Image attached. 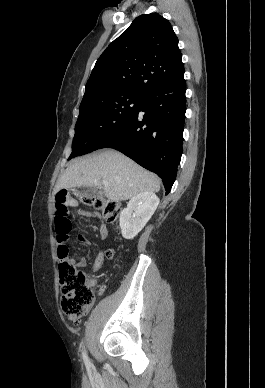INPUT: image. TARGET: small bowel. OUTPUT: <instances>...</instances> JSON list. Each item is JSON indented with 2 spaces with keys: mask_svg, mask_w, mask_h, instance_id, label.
<instances>
[{
  "mask_svg": "<svg viewBox=\"0 0 265 388\" xmlns=\"http://www.w3.org/2000/svg\"><path fill=\"white\" fill-rule=\"evenodd\" d=\"M70 205L73 206V207H79L80 206L79 202L77 200H74V199L70 200ZM77 214L80 215V216L89 217V218L97 217L96 214H91V213H89L87 211H83V210H79ZM99 237L101 239H106L108 237V229H107V227L105 225H102L100 227V229H99ZM78 239H79V241L81 243H83L85 245H91V243H92L91 240L88 237L84 236V235H80L78 237ZM69 262L72 263L73 265L77 266V267H84V266L87 265V260L85 258H81L79 260L70 259ZM103 262H104V255H103L102 252H99L97 254L93 264H92V268H91L92 272L95 273V272L99 271L100 268L103 265ZM88 282H89V285L91 287H94L97 284V280L94 277H91L88 280ZM104 290H105V286L100 287V289L98 291V294L101 295L104 292Z\"/></svg>",
  "mask_w": 265,
  "mask_h": 388,
  "instance_id": "1",
  "label": "small bowel"
}]
</instances>
